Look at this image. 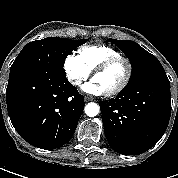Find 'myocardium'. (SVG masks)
Returning a JSON list of instances; mask_svg holds the SVG:
<instances>
[{
  "label": "myocardium",
  "mask_w": 178,
  "mask_h": 178,
  "mask_svg": "<svg viewBox=\"0 0 178 178\" xmlns=\"http://www.w3.org/2000/svg\"><path fill=\"white\" fill-rule=\"evenodd\" d=\"M124 62L126 64V75L124 80L122 81V83L117 86L116 88H114L113 90H110L108 92H105V94L107 96H115L119 93H121L129 84L131 77H132V72H133V66L131 61L127 58L124 57L122 55L120 56H114L111 57L107 60H105L104 62H102L98 67H96L92 73V78L94 79L95 76L103 73L104 71H106L109 67H111L112 65L118 63V62Z\"/></svg>",
  "instance_id": "1"
}]
</instances>
